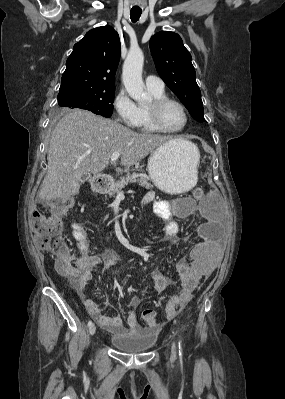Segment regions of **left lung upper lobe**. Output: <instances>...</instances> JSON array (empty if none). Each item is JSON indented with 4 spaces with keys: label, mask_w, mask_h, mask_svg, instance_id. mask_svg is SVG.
Here are the masks:
<instances>
[{
    "label": "left lung upper lobe",
    "mask_w": 285,
    "mask_h": 399,
    "mask_svg": "<svg viewBox=\"0 0 285 399\" xmlns=\"http://www.w3.org/2000/svg\"><path fill=\"white\" fill-rule=\"evenodd\" d=\"M149 46L160 77L191 116L204 122L201 92L196 83L191 54L183 45L181 37L174 32L161 31L151 37Z\"/></svg>",
    "instance_id": "left-lung-upper-lobe-1"
}]
</instances>
